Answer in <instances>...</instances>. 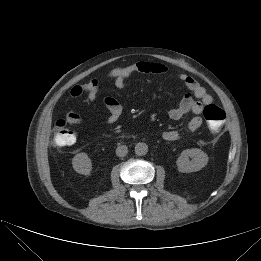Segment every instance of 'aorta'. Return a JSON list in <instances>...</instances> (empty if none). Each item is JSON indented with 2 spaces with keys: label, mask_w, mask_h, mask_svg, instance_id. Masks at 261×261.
<instances>
[{
  "label": "aorta",
  "mask_w": 261,
  "mask_h": 261,
  "mask_svg": "<svg viewBox=\"0 0 261 261\" xmlns=\"http://www.w3.org/2000/svg\"><path fill=\"white\" fill-rule=\"evenodd\" d=\"M148 152V146L146 143H137L136 146H135V153L136 155L138 156H144L146 155Z\"/></svg>",
  "instance_id": "762f6f07"
}]
</instances>
